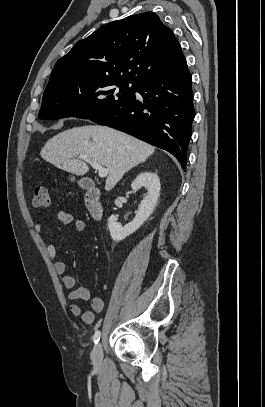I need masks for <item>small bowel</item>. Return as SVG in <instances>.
<instances>
[{
  "instance_id": "1",
  "label": "small bowel",
  "mask_w": 265,
  "mask_h": 407,
  "mask_svg": "<svg viewBox=\"0 0 265 407\" xmlns=\"http://www.w3.org/2000/svg\"><path fill=\"white\" fill-rule=\"evenodd\" d=\"M57 221L51 226L50 229L58 226L73 225L75 230L82 231L85 229V221L81 218H76L73 214L65 211L56 212ZM34 229L37 232L42 230L41 221L38 220L34 224ZM46 251L51 259L54 260L55 271L62 276V283L64 287L70 290L68 298L71 301H91L92 310H84L81 304L72 303L70 311L72 315L80 317L86 324H93L95 322V315L102 313L105 308V303L102 298L95 297L91 299L90 290L86 287H77L76 279L71 274H66V264L62 260H56L57 249L51 241L46 242Z\"/></svg>"
}]
</instances>
